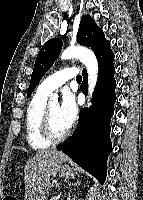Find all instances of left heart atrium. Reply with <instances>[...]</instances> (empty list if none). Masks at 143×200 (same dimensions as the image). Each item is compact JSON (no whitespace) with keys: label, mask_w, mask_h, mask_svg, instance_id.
<instances>
[{"label":"left heart atrium","mask_w":143,"mask_h":200,"mask_svg":"<svg viewBox=\"0 0 143 200\" xmlns=\"http://www.w3.org/2000/svg\"><path fill=\"white\" fill-rule=\"evenodd\" d=\"M59 113L67 127H71L77 116V105L75 97L70 91L63 92Z\"/></svg>","instance_id":"39dd6f15"}]
</instances>
